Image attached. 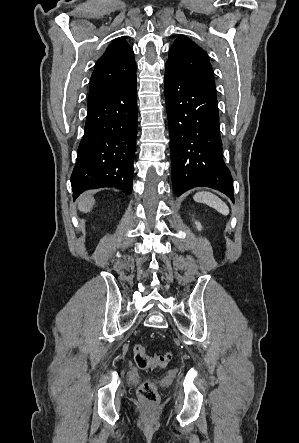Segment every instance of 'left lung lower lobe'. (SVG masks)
Here are the masks:
<instances>
[{"instance_id": "obj_1", "label": "left lung lower lobe", "mask_w": 299, "mask_h": 443, "mask_svg": "<svg viewBox=\"0 0 299 443\" xmlns=\"http://www.w3.org/2000/svg\"><path fill=\"white\" fill-rule=\"evenodd\" d=\"M164 85L175 195L206 186L233 201V181L222 159L216 95L168 64Z\"/></svg>"}]
</instances>
